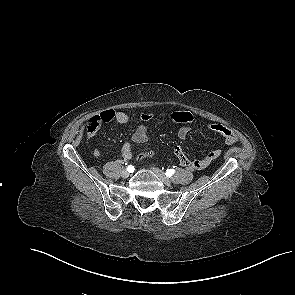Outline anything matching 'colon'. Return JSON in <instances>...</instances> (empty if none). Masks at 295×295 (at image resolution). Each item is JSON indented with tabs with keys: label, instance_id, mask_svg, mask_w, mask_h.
Returning <instances> with one entry per match:
<instances>
[{
	"label": "colon",
	"instance_id": "5ec220e1",
	"mask_svg": "<svg viewBox=\"0 0 295 295\" xmlns=\"http://www.w3.org/2000/svg\"><path fill=\"white\" fill-rule=\"evenodd\" d=\"M98 127H99L98 119L96 117L91 119L90 122H89V126H88L89 131L94 132ZM153 155H154L153 150H146L140 155V159L143 160V159H146V158H150Z\"/></svg>",
	"mask_w": 295,
	"mask_h": 295
}]
</instances>
